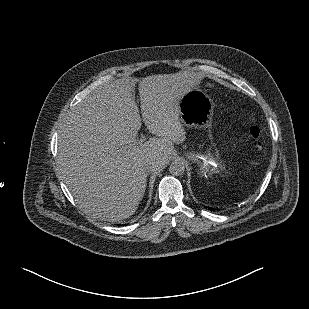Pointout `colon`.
I'll list each match as a JSON object with an SVG mask.
<instances>
[{
	"instance_id": "obj_1",
	"label": "colon",
	"mask_w": 309,
	"mask_h": 309,
	"mask_svg": "<svg viewBox=\"0 0 309 309\" xmlns=\"http://www.w3.org/2000/svg\"><path fill=\"white\" fill-rule=\"evenodd\" d=\"M250 136L257 141L258 145H261V142L259 141L260 131L258 128L252 127L250 129Z\"/></svg>"
}]
</instances>
